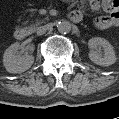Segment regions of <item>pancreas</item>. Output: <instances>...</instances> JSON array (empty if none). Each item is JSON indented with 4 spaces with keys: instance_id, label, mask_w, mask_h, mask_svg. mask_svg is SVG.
<instances>
[{
    "instance_id": "pancreas-1",
    "label": "pancreas",
    "mask_w": 119,
    "mask_h": 119,
    "mask_svg": "<svg viewBox=\"0 0 119 119\" xmlns=\"http://www.w3.org/2000/svg\"><path fill=\"white\" fill-rule=\"evenodd\" d=\"M39 23H40V22H38V23H36V24L30 26L28 29H29L31 32L35 31V29H36V27H37V25H38Z\"/></svg>"
}]
</instances>
